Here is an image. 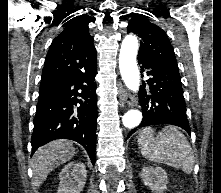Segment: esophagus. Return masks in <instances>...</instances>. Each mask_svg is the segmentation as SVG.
Segmentation results:
<instances>
[{
  "mask_svg": "<svg viewBox=\"0 0 221 193\" xmlns=\"http://www.w3.org/2000/svg\"><path fill=\"white\" fill-rule=\"evenodd\" d=\"M120 97L122 100L127 103L129 106H135L136 105V99L132 95H130L126 89L122 88L120 91Z\"/></svg>",
  "mask_w": 221,
  "mask_h": 193,
  "instance_id": "obj_1",
  "label": "esophagus"
}]
</instances>
